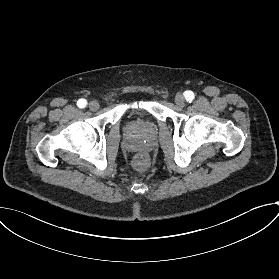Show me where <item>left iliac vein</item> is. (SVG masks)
Segmentation results:
<instances>
[{
	"instance_id": "1",
	"label": "left iliac vein",
	"mask_w": 279,
	"mask_h": 279,
	"mask_svg": "<svg viewBox=\"0 0 279 279\" xmlns=\"http://www.w3.org/2000/svg\"><path fill=\"white\" fill-rule=\"evenodd\" d=\"M175 103L179 107H183L185 105V99L184 96L180 93L175 95Z\"/></svg>"
}]
</instances>
